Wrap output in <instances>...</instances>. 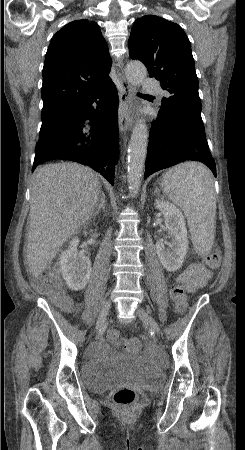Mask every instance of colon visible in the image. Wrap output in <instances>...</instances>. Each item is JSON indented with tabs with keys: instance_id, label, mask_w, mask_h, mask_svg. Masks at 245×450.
<instances>
[{
	"instance_id": "1",
	"label": "colon",
	"mask_w": 245,
	"mask_h": 450,
	"mask_svg": "<svg viewBox=\"0 0 245 450\" xmlns=\"http://www.w3.org/2000/svg\"><path fill=\"white\" fill-rule=\"evenodd\" d=\"M220 262V253L218 250L213 249L208 252L203 258V263L206 267L214 269L218 267ZM36 289L47 296H49L54 302H56L63 311L68 312L71 309V301L63 293L62 287L59 282V277L51 271H45L38 278ZM169 297L171 302L176 306L179 312H183L188 305L187 293L182 284H173L169 289ZM110 342L120 348L129 347L131 350H137L140 348V344L137 341L127 343V341L120 337L116 332L109 334ZM136 399V392L128 387H121L117 389L113 394V401L116 404L117 409L121 413H126L132 407Z\"/></svg>"
}]
</instances>
